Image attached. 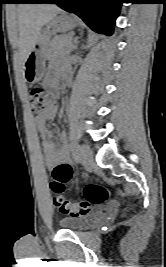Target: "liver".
<instances>
[{
    "mask_svg": "<svg viewBox=\"0 0 166 267\" xmlns=\"http://www.w3.org/2000/svg\"><path fill=\"white\" fill-rule=\"evenodd\" d=\"M62 10L50 4H21L18 6V40L19 53L23 61L27 58L41 30Z\"/></svg>",
    "mask_w": 166,
    "mask_h": 267,
    "instance_id": "obj_1",
    "label": "liver"
}]
</instances>
